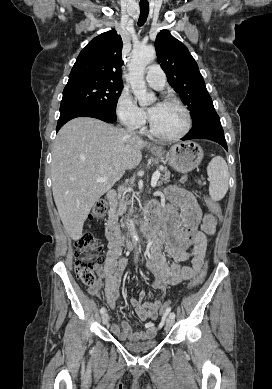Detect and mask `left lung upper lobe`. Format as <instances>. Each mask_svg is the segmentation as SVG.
Returning <instances> with one entry per match:
<instances>
[{
    "instance_id": "obj_1",
    "label": "left lung upper lobe",
    "mask_w": 272,
    "mask_h": 389,
    "mask_svg": "<svg viewBox=\"0 0 272 389\" xmlns=\"http://www.w3.org/2000/svg\"><path fill=\"white\" fill-rule=\"evenodd\" d=\"M155 47L158 63L166 73L169 84L190 110L192 125L201 122L215 109L196 61L188 48L168 30L158 33Z\"/></svg>"
}]
</instances>
